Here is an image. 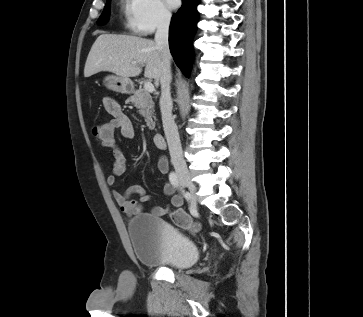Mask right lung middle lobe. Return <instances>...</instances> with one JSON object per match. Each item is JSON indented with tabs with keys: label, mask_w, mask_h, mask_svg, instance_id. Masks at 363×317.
<instances>
[{
	"label": "right lung middle lobe",
	"mask_w": 363,
	"mask_h": 317,
	"mask_svg": "<svg viewBox=\"0 0 363 317\" xmlns=\"http://www.w3.org/2000/svg\"><path fill=\"white\" fill-rule=\"evenodd\" d=\"M109 6H110V0H107L105 8H104L101 16L98 19V24H104L108 20L109 12H110Z\"/></svg>",
	"instance_id": "right-lung-middle-lobe-1"
}]
</instances>
